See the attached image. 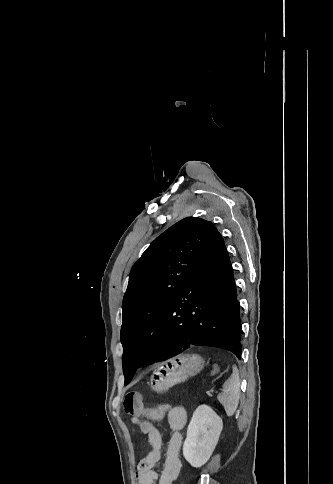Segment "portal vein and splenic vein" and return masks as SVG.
Listing matches in <instances>:
<instances>
[{
  "label": "portal vein and splenic vein",
  "instance_id": "1",
  "mask_svg": "<svg viewBox=\"0 0 333 484\" xmlns=\"http://www.w3.org/2000/svg\"><path fill=\"white\" fill-rule=\"evenodd\" d=\"M213 392H214V389H211V390L206 391V394H207L208 396H212V393H213Z\"/></svg>",
  "mask_w": 333,
  "mask_h": 484
}]
</instances>
